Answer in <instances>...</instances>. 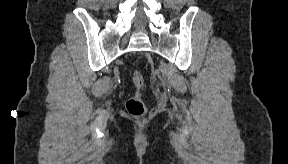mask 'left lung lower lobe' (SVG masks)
<instances>
[{
	"label": "left lung lower lobe",
	"mask_w": 288,
	"mask_h": 164,
	"mask_svg": "<svg viewBox=\"0 0 288 164\" xmlns=\"http://www.w3.org/2000/svg\"><path fill=\"white\" fill-rule=\"evenodd\" d=\"M263 85H264V79H263L262 76L259 75V89H261V88L263 87ZM256 95H257L259 98H261V93H260V92L256 93Z\"/></svg>",
	"instance_id": "0a47b994"
}]
</instances>
